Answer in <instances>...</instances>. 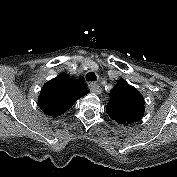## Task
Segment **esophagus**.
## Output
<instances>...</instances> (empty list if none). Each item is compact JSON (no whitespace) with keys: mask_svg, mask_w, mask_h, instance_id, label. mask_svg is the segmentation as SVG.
<instances>
[{"mask_svg":"<svg viewBox=\"0 0 177 177\" xmlns=\"http://www.w3.org/2000/svg\"><path fill=\"white\" fill-rule=\"evenodd\" d=\"M89 89L92 93H95V94H101V92H102V89L99 86V84H97L95 82L89 83Z\"/></svg>","mask_w":177,"mask_h":177,"instance_id":"obj_1","label":"esophagus"}]
</instances>
